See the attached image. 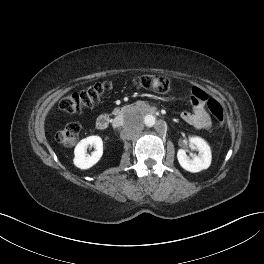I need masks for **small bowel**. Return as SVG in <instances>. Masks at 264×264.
Wrapping results in <instances>:
<instances>
[{
	"instance_id": "small-bowel-1",
	"label": "small bowel",
	"mask_w": 264,
	"mask_h": 264,
	"mask_svg": "<svg viewBox=\"0 0 264 264\" xmlns=\"http://www.w3.org/2000/svg\"><path fill=\"white\" fill-rule=\"evenodd\" d=\"M206 100L207 94L203 90L193 87L190 93L192 111H183L181 113L182 120L197 129L209 128L211 119L205 108Z\"/></svg>"
}]
</instances>
